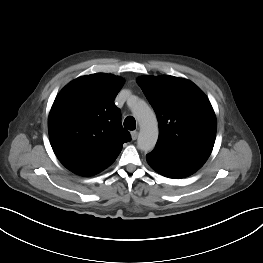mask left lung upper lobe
<instances>
[{
    "label": "left lung upper lobe",
    "mask_w": 263,
    "mask_h": 263,
    "mask_svg": "<svg viewBox=\"0 0 263 263\" xmlns=\"http://www.w3.org/2000/svg\"><path fill=\"white\" fill-rule=\"evenodd\" d=\"M156 112L155 149L177 155L209 157L216 137V117L207 96L191 81L169 75L137 80Z\"/></svg>",
    "instance_id": "1"
}]
</instances>
